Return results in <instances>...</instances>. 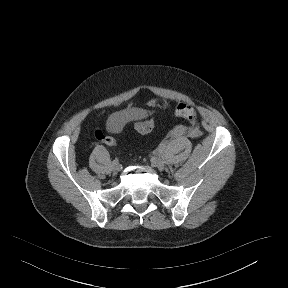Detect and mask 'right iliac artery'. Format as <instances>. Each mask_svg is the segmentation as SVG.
I'll return each instance as SVG.
<instances>
[{"label":"right iliac artery","instance_id":"right-iliac-artery-1","mask_svg":"<svg viewBox=\"0 0 288 288\" xmlns=\"http://www.w3.org/2000/svg\"><path fill=\"white\" fill-rule=\"evenodd\" d=\"M113 162H118V159H117V158H115V159L113 160Z\"/></svg>","mask_w":288,"mask_h":288}]
</instances>
